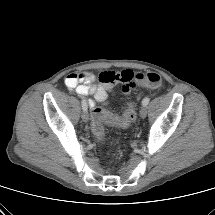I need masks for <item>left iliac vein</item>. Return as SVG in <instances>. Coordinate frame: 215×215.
<instances>
[{"instance_id": "left-iliac-vein-1", "label": "left iliac vein", "mask_w": 215, "mask_h": 215, "mask_svg": "<svg viewBox=\"0 0 215 215\" xmlns=\"http://www.w3.org/2000/svg\"><path fill=\"white\" fill-rule=\"evenodd\" d=\"M146 115H147V109L145 106H142L140 109V117L144 119Z\"/></svg>"}]
</instances>
